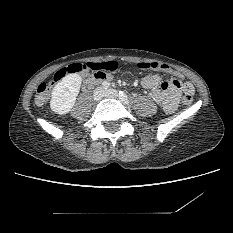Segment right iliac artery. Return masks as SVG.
Returning a JSON list of instances; mask_svg holds the SVG:
<instances>
[{
  "label": "right iliac artery",
  "mask_w": 233,
  "mask_h": 233,
  "mask_svg": "<svg viewBox=\"0 0 233 233\" xmlns=\"http://www.w3.org/2000/svg\"><path fill=\"white\" fill-rule=\"evenodd\" d=\"M109 86H110V84H109L108 82L102 83V87H103L104 89H108Z\"/></svg>",
  "instance_id": "right-iliac-artery-1"
}]
</instances>
